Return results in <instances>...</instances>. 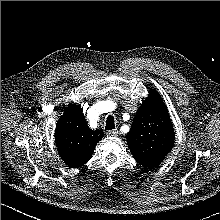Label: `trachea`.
Returning <instances> with one entry per match:
<instances>
[{
	"label": "trachea",
	"instance_id": "trachea-1",
	"mask_svg": "<svg viewBox=\"0 0 220 220\" xmlns=\"http://www.w3.org/2000/svg\"><path fill=\"white\" fill-rule=\"evenodd\" d=\"M106 130H113L115 129V123H114V117L112 115H109L106 119Z\"/></svg>",
	"mask_w": 220,
	"mask_h": 220
}]
</instances>
